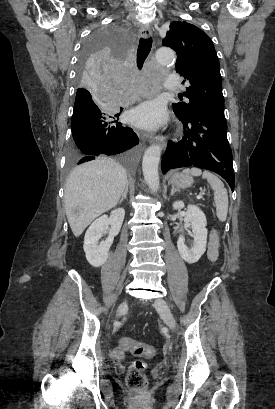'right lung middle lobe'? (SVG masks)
Segmentation results:
<instances>
[{"instance_id": "1", "label": "right lung middle lobe", "mask_w": 275, "mask_h": 409, "mask_svg": "<svg viewBox=\"0 0 275 409\" xmlns=\"http://www.w3.org/2000/svg\"><path fill=\"white\" fill-rule=\"evenodd\" d=\"M128 30H117L116 24H101L100 30L84 43L75 78L77 90L71 121L72 139L62 177L68 178L73 167L82 163L112 159L127 167L130 173L139 171L141 145L133 129L126 127L124 105L128 96H112L111 91H128L122 82V58L116 51H131Z\"/></svg>"}]
</instances>
